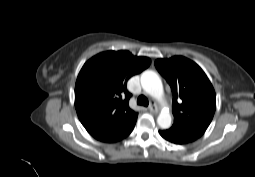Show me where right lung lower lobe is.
Wrapping results in <instances>:
<instances>
[{
    "instance_id": "1",
    "label": "right lung lower lobe",
    "mask_w": 255,
    "mask_h": 177,
    "mask_svg": "<svg viewBox=\"0 0 255 177\" xmlns=\"http://www.w3.org/2000/svg\"><path fill=\"white\" fill-rule=\"evenodd\" d=\"M137 117L134 119H131L127 123H125L123 126L109 134L103 139H100L102 142L106 143H114L117 141L122 140L123 138H126L133 130L135 123H136Z\"/></svg>"
}]
</instances>
